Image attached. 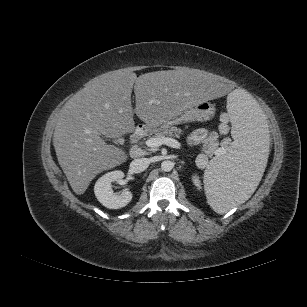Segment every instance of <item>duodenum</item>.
Returning a JSON list of instances; mask_svg holds the SVG:
<instances>
[{
  "mask_svg": "<svg viewBox=\"0 0 307 307\" xmlns=\"http://www.w3.org/2000/svg\"><path fill=\"white\" fill-rule=\"evenodd\" d=\"M146 132L145 127L137 128L130 136L131 144H137L145 136Z\"/></svg>",
  "mask_w": 307,
  "mask_h": 307,
  "instance_id": "obj_1",
  "label": "duodenum"
}]
</instances>
